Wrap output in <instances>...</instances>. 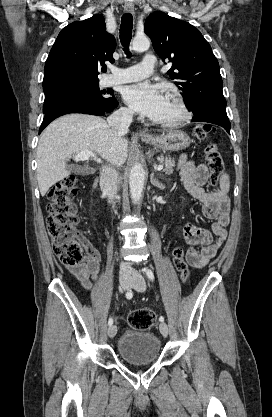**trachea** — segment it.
<instances>
[{"label":"trachea","instance_id":"trachea-1","mask_svg":"<svg viewBox=\"0 0 272 417\" xmlns=\"http://www.w3.org/2000/svg\"><path fill=\"white\" fill-rule=\"evenodd\" d=\"M132 26V15L130 13H125L121 18L120 41L122 46L124 47L127 57H131V54L129 52V45L132 38ZM103 70L106 71L107 68H104Z\"/></svg>","mask_w":272,"mask_h":417}]
</instances>
